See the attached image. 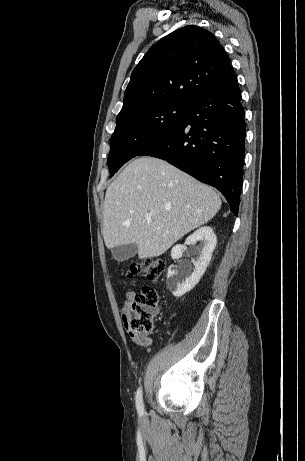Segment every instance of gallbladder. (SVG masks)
Returning <instances> with one entry per match:
<instances>
[{
    "mask_svg": "<svg viewBox=\"0 0 305 461\" xmlns=\"http://www.w3.org/2000/svg\"><path fill=\"white\" fill-rule=\"evenodd\" d=\"M138 252V247L136 244H126L116 246L111 250L112 256L118 262H122L134 257Z\"/></svg>",
    "mask_w": 305,
    "mask_h": 461,
    "instance_id": "gallbladder-1",
    "label": "gallbladder"
}]
</instances>
